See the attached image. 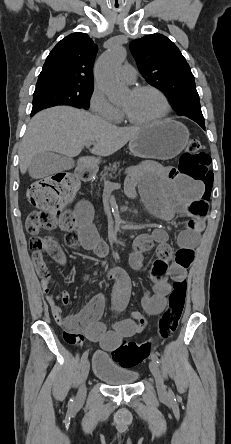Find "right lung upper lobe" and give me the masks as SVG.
Returning <instances> with one entry per match:
<instances>
[{
    "label": "right lung upper lobe",
    "mask_w": 231,
    "mask_h": 444,
    "mask_svg": "<svg viewBox=\"0 0 231 444\" xmlns=\"http://www.w3.org/2000/svg\"><path fill=\"white\" fill-rule=\"evenodd\" d=\"M97 45L85 33H72L48 55L36 87L52 84L93 86V62Z\"/></svg>",
    "instance_id": "cb5924a9"
}]
</instances>
